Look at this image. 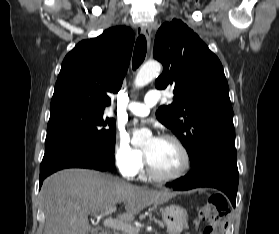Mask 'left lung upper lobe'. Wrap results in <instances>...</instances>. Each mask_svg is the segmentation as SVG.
<instances>
[{
	"instance_id": "left-lung-upper-lobe-1",
	"label": "left lung upper lobe",
	"mask_w": 279,
	"mask_h": 234,
	"mask_svg": "<svg viewBox=\"0 0 279 234\" xmlns=\"http://www.w3.org/2000/svg\"><path fill=\"white\" fill-rule=\"evenodd\" d=\"M153 56L163 64L156 88H174L173 103L161 106L156 117L181 140L191 168L207 151L235 146L224 70L199 36L181 20L166 22L156 34Z\"/></svg>"
}]
</instances>
